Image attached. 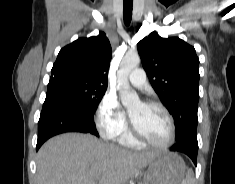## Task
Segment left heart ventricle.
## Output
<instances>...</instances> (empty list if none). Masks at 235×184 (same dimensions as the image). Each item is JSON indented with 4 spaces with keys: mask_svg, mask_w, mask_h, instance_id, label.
<instances>
[{
    "mask_svg": "<svg viewBox=\"0 0 235 184\" xmlns=\"http://www.w3.org/2000/svg\"><path fill=\"white\" fill-rule=\"evenodd\" d=\"M137 130L155 144L166 143L170 136V123L165 112L158 107L137 103L129 109Z\"/></svg>",
    "mask_w": 235,
    "mask_h": 184,
    "instance_id": "1",
    "label": "left heart ventricle"
}]
</instances>
